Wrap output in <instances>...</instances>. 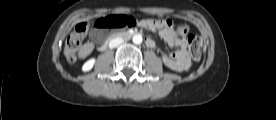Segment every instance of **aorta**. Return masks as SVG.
I'll return each mask as SVG.
<instances>
[{
    "instance_id": "1",
    "label": "aorta",
    "mask_w": 276,
    "mask_h": 120,
    "mask_svg": "<svg viewBox=\"0 0 276 120\" xmlns=\"http://www.w3.org/2000/svg\"><path fill=\"white\" fill-rule=\"evenodd\" d=\"M132 41H133L134 44L139 45V44L142 43L143 39H142V36L140 34H136V35L133 36Z\"/></svg>"
}]
</instances>
